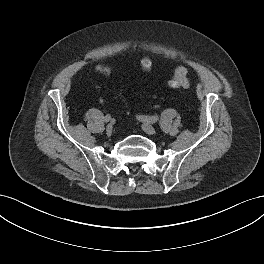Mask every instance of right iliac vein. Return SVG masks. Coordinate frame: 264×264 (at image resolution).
<instances>
[{"label": "right iliac vein", "instance_id": "right-iliac-vein-1", "mask_svg": "<svg viewBox=\"0 0 264 264\" xmlns=\"http://www.w3.org/2000/svg\"><path fill=\"white\" fill-rule=\"evenodd\" d=\"M112 130H113L112 125H108V126L106 127V133H107L108 135H111V134H112Z\"/></svg>", "mask_w": 264, "mask_h": 264}]
</instances>
